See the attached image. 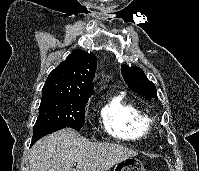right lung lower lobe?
Masks as SVG:
<instances>
[{
	"label": "right lung lower lobe",
	"instance_id": "98d812e1",
	"mask_svg": "<svg viewBox=\"0 0 199 171\" xmlns=\"http://www.w3.org/2000/svg\"><path fill=\"white\" fill-rule=\"evenodd\" d=\"M60 129H63V128L62 127H51V128H44V129L39 130L37 133L33 134L31 145H33L36 141H38L43 136L53 133L55 131H58Z\"/></svg>",
	"mask_w": 199,
	"mask_h": 171
}]
</instances>
